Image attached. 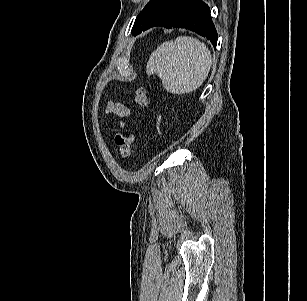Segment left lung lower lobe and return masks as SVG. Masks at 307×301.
Masks as SVG:
<instances>
[{
	"instance_id": "left-lung-lower-lobe-1",
	"label": "left lung lower lobe",
	"mask_w": 307,
	"mask_h": 301,
	"mask_svg": "<svg viewBox=\"0 0 307 301\" xmlns=\"http://www.w3.org/2000/svg\"><path fill=\"white\" fill-rule=\"evenodd\" d=\"M153 26L189 29L210 40L214 48L217 44V32L212 22L210 9L201 0H179L162 19L151 27Z\"/></svg>"
}]
</instances>
